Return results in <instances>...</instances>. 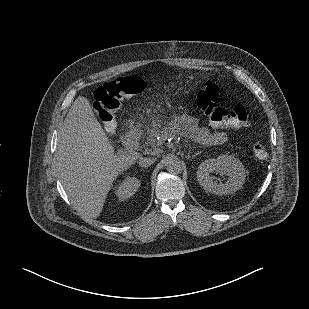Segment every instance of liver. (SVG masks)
<instances>
[{
	"label": "liver",
	"mask_w": 309,
	"mask_h": 309,
	"mask_svg": "<svg viewBox=\"0 0 309 309\" xmlns=\"http://www.w3.org/2000/svg\"><path fill=\"white\" fill-rule=\"evenodd\" d=\"M139 157L134 151L115 154L89 100L79 96L74 101L58 134L57 165L78 211L97 218L113 181Z\"/></svg>",
	"instance_id": "liver-1"
}]
</instances>
